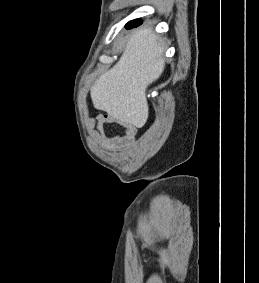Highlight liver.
I'll list each match as a JSON object with an SVG mask.
<instances>
[{"label":"liver","mask_w":259,"mask_h":283,"mask_svg":"<svg viewBox=\"0 0 259 283\" xmlns=\"http://www.w3.org/2000/svg\"><path fill=\"white\" fill-rule=\"evenodd\" d=\"M164 46L149 28L134 33L119 61L91 88L96 109L137 128L148 119L147 87L164 71Z\"/></svg>","instance_id":"6515ba94"}]
</instances>
